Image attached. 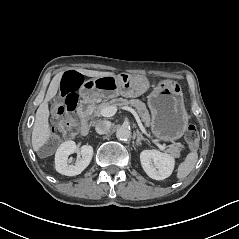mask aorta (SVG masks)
Here are the masks:
<instances>
[{
	"mask_svg": "<svg viewBox=\"0 0 239 239\" xmlns=\"http://www.w3.org/2000/svg\"><path fill=\"white\" fill-rule=\"evenodd\" d=\"M116 138L118 140L127 141L131 138V130L127 126H121L116 130Z\"/></svg>",
	"mask_w": 239,
	"mask_h": 239,
	"instance_id": "obj_1",
	"label": "aorta"
}]
</instances>
